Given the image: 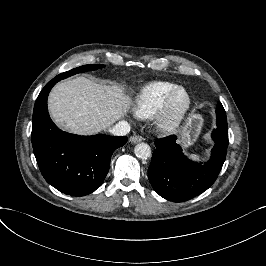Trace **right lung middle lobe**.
<instances>
[{"mask_svg":"<svg viewBox=\"0 0 266 266\" xmlns=\"http://www.w3.org/2000/svg\"><path fill=\"white\" fill-rule=\"evenodd\" d=\"M103 67H104V65H101V64L83 65V66L77 67L75 69H72L70 71L61 73V74L57 75L54 79L62 80V79H65V78L72 76L74 74H77V73H82V72H86V71H93V70L101 69Z\"/></svg>","mask_w":266,"mask_h":266,"instance_id":"1","label":"right lung middle lobe"}]
</instances>
